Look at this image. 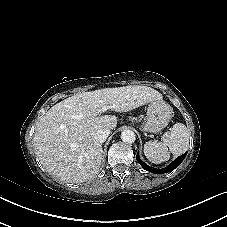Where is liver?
Listing matches in <instances>:
<instances>
[{
	"mask_svg": "<svg viewBox=\"0 0 227 227\" xmlns=\"http://www.w3.org/2000/svg\"><path fill=\"white\" fill-rule=\"evenodd\" d=\"M161 94L147 86L107 88L75 94L51 107L38 122L34 148L43 168L68 183L94 177L102 161V145L94 139L99 129H115V115H100L106 107L128 112L161 100Z\"/></svg>",
	"mask_w": 227,
	"mask_h": 227,
	"instance_id": "6515ba94",
	"label": "liver"
}]
</instances>
